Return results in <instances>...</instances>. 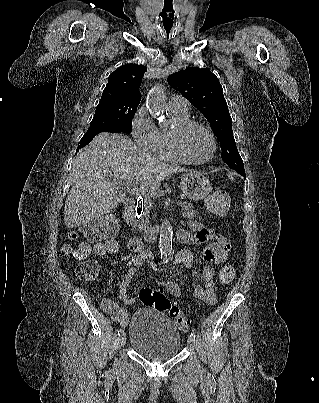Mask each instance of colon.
<instances>
[{"label": "colon", "instance_id": "colon-1", "mask_svg": "<svg viewBox=\"0 0 319 403\" xmlns=\"http://www.w3.org/2000/svg\"><path fill=\"white\" fill-rule=\"evenodd\" d=\"M229 204L228 195L219 191L210 195L206 200L208 210L214 215H223ZM118 230V222L113 215H104L92 222L84 230L83 236L90 244V249L95 254H108L111 257L116 255L119 249L118 240L111 239ZM106 239V240H105ZM80 236L76 233L68 235L65 243V250L79 261L77 275L80 279L92 282L97 278L99 266L87 254L89 248L79 244ZM223 284L231 283L235 278V270L232 266H224L219 274ZM142 304L157 311L168 314L175 322L180 331L185 332L189 327V322L183 311L172 303L160 289H142L139 293Z\"/></svg>", "mask_w": 319, "mask_h": 403}]
</instances>
